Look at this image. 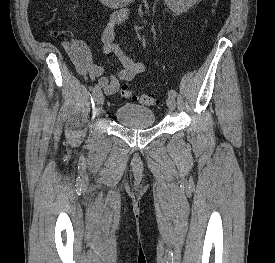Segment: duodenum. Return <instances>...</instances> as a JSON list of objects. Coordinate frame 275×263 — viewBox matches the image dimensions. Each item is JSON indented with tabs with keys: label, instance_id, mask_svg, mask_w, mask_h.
Wrapping results in <instances>:
<instances>
[{
	"label": "duodenum",
	"instance_id": "410a0bca",
	"mask_svg": "<svg viewBox=\"0 0 275 263\" xmlns=\"http://www.w3.org/2000/svg\"><path fill=\"white\" fill-rule=\"evenodd\" d=\"M100 1L107 7L117 8V7L127 6L132 2H134L135 0H100Z\"/></svg>",
	"mask_w": 275,
	"mask_h": 263
}]
</instances>
